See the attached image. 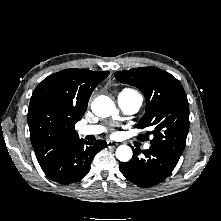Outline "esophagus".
Instances as JSON below:
<instances>
[{
    "label": "esophagus",
    "mask_w": 221,
    "mask_h": 221,
    "mask_svg": "<svg viewBox=\"0 0 221 221\" xmlns=\"http://www.w3.org/2000/svg\"><path fill=\"white\" fill-rule=\"evenodd\" d=\"M116 146H118V143H114L112 141H107L108 148H115Z\"/></svg>",
    "instance_id": "1"
}]
</instances>
